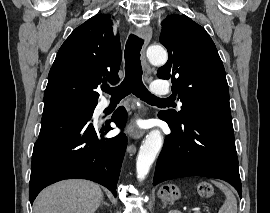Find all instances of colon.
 <instances>
[{
  "mask_svg": "<svg viewBox=\"0 0 270 213\" xmlns=\"http://www.w3.org/2000/svg\"><path fill=\"white\" fill-rule=\"evenodd\" d=\"M197 192L200 196L205 197V198H210L214 194V190L212 186L208 183H200L197 186Z\"/></svg>",
  "mask_w": 270,
  "mask_h": 213,
  "instance_id": "1",
  "label": "colon"
}]
</instances>
